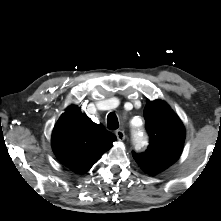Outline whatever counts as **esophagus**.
<instances>
[{"label":"esophagus","mask_w":221,"mask_h":221,"mask_svg":"<svg viewBox=\"0 0 221 221\" xmlns=\"http://www.w3.org/2000/svg\"><path fill=\"white\" fill-rule=\"evenodd\" d=\"M115 134L119 141H123L125 139V133L123 130H117Z\"/></svg>","instance_id":"1"}]
</instances>
